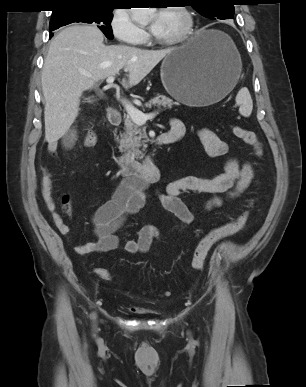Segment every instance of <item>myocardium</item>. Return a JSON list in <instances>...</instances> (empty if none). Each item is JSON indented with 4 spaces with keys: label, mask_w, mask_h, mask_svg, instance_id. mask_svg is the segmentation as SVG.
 Wrapping results in <instances>:
<instances>
[{
    "label": "myocardium",
    "mask_w": 306,
    "mask_h": 387,
    "mask_svg": "<svg viewBox=\"0 0 306 387\" xmlns=\"http://www.w3.org/2000/svg\"><path fill=\"white\" fill-rule=\"evenodd\" d=\"M162 10H176L178 11L183 19L184 26L179 34L168 39H159L155 35L153 40L160 45H176L186 41L191 35L194 27V15L187 6H169Z\"/></svg>",
    "instance_id": "f54148a6"
}]
</instances>
